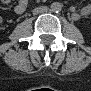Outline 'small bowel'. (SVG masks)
<instances>
[{
  "label": "small bowel",
  "mask_w": 91,
  "mask_h": 91,
  "mask_svg": "<svg viewBox=\"0 0 91 91\" xmlns=\"http://www.w3.org/2000/svg\"><path fill=\"white\" fill-rule=\"evenodd\" d=\"M26 7H27V2H26L25 0H20V1L16 4V6H15V11H16V13H18V14H22L23 12H25ZM73 14H74V15H78V14H79V10L74 9V10H73Z\"/></svg>",
  "instance_id": "1"
}]
</instances>
